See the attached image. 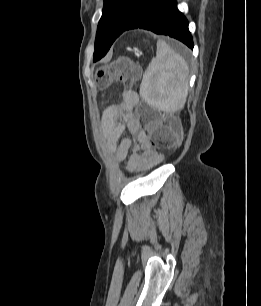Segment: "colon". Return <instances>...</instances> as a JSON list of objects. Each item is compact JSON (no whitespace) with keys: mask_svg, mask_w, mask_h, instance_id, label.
I'll return each instance as SVG.
<instances>
[{"mask_svg":"<svg viewBox=\"0 0 261 306\" xmlns=\"http://www.w3.org/2000/svg\"><path fill=\"white\" fill-rule=\"evenodd\" d=\"M139 77L137 65L127 57L113 60L109 65L97 70L96 78L100 85L106 86L118 81L125 87H131ZM141 123L149 129L150 141L158 149H168L177 142L172 124H163L154 111L144 110L140 114Z\"/></svg>","mask_w":261,"mask_h":306,"instance_id":"colon-1","label":"colon"}]
</instances>
